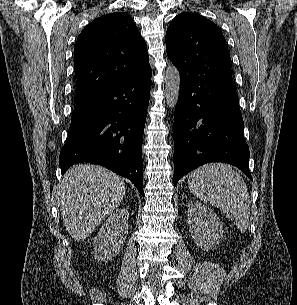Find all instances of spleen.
Here are the masks:
<instances>
[{
    "label": "spleen",
    "instance_id": "3e777b00",
    "mask_svg": "<svg viewBox=\"0 0 297 305\" xmlns=\"http://www.w3.org/2000/svg\"><path fill=\"white\" fill-rule=\"evenodd\" d=\"M188 186L196 197L226 213L241 232L247 230L249 193L243 178L230 166L221 163L201 166L189 175Z\"/></svg>",
    "mask_w": 297,
    "mask_h": 305
}]
</instances>
